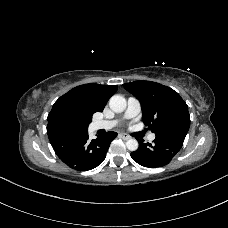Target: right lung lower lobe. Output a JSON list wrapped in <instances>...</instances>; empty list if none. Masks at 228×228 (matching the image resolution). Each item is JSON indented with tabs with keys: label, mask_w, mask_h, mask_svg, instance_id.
I'll return each instance as SVG.
<instances>
[{
	"label": "right lung lower lobe",
	"mask_w": 228,
	"mask_h": 228,
	"mask_svg": "<svg viewBox=\"0 0 228 228\" xmlns=\"http://www.w3.org/2000/svg\"><path fill=\"white\" fill-rule=\"evenodd\" d=\"M116 132L90 140L87 131H60L49 135L56 155L69 167L78 171L91 170L100 165L106 157Z\"/></svg>",
	"instance_id": "1"
}]
</instances>
